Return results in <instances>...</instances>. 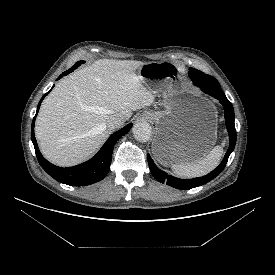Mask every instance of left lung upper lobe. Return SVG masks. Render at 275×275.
I'll return each instance as SVG.
<instances>
[{
  "label": "left lung upper lobe",
  "mask_w": 275,
  "mask_h": 275,
  "mask_svg": "<svg viewBox=\"0 0 275 275\" xmlns=\"http://www.w3.org/2000/svg\"><path fill=\"white\" fill-rule=\"evenodd\" d=\"M194 69V68H193ZM196 70V69H195ZM214 84H215V87L218 88V89H221V86L220 84L218 83V81L215 79L214 81Z\"/></svg>",
  "instance_id": "obj_1"
}]
</instances>
